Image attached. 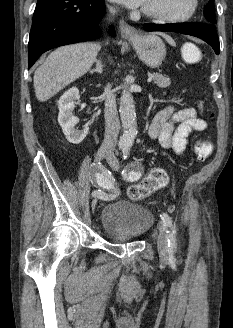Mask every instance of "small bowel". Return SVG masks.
<instances>
[{
	"instance_id": "1",
	"label": "small bowel",
	"mask_w": 233,
	"mask_h": 328,
	"mask_svg": "<svg viewBox=\"0 0 233 328\" xmlns=\"http://www.w3.org/2000/svg\"><path fill=\"white\" fill-rule=\"evenodd\" d=\"M203 109L202 102H199L197 108L176 110L168 106L153 118L148 130L149 136L158 140L164 149L183 155L189 135L208 128V122L200 117Z\"/></svg>"
}]
</instances>
